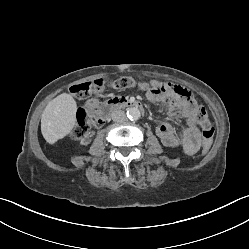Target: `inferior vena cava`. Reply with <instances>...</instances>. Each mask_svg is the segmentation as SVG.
<instances>
[{"mask_svg":"<svg viewBox=\"0 0 249 249\" xmlns=\"http://www.w3.org/2000/svg\"><path fill=\"white\" fill-rule=\"evenodd\" d=\"M112 120L115 122H123L126 120V114L122 110H115L112 113Z\"/></svg>","mask_w":249,"mask_h":249,"instance_id":"obj_1","label":"inferior vena cava"}]
</instances>
